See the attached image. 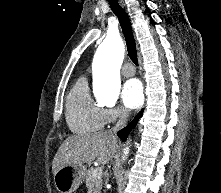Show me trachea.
Returning a JSON list of instances; mask_svg holds the SVG:
<instances>
[{"mask_svg": "<svg viewBox=\"0 0 221 193\" xmlns=\"http://www.w3.org/2000/svg\"><path fill=\"white\" fill-rule=\"evenodd\" d=\"M108 2L110 4L112 11L120 21V25L126 41L128 55L132 60V62L135 65H138L136 43L128 15L122 9V7L117 3V0H108Z\"/></svg>", "mask_w": 221, "mask_h": 193, "instance_id": "trachea-1", "label": "trachea"}]
</instances>
